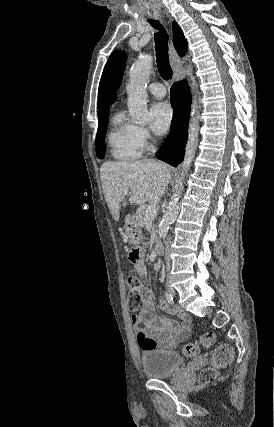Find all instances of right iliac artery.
<instances>
[{
	"instance_id": "obj_1",
	"label": "right iliac artery",
	"mask_w": 274,
	"mask_h": 427,
	"mask_svg": "<svg viewBox=\"0 0 274 427\" xmlns=\"http://www.w3.org/2000/svg\"><path fill=\"white\" fill-rule=\"evenodd\" d=\"M165 298H166L168 303H170V304L173 303V297L168 291H165Z\"/></svg>"
}]
</instances>
